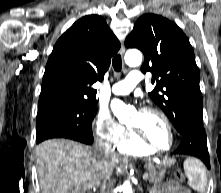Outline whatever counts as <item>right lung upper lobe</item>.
<instances>
[{
	"label": "right lung upper lobe",
	"mask_w": 221,
	"mask_h": 193,
	"mask_svg": "<svg viewBox=\"0 0 221 193\" xmlns=\"http://www.w3.org/2000/svg\"><path fill=\"white\" fill-rule=\"evenodd\" d=\"M120 43L98 15L75 22L56 42L43 76L38 108L55 104L97 105V91Z\"/></svg>",
	"instance_id": "1"
}]
</instances>
